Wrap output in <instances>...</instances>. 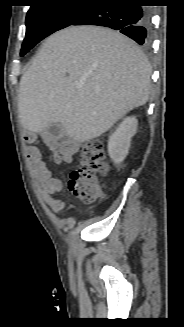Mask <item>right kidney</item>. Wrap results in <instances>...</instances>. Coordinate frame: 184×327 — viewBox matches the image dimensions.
Segmentation results:
<instances>
[{
    "label": "right kidney",
    "instance_id": "1",
    "mask_svg": "<svg viewBox=\"0 0 184 327\" xmlns=\"http://www.w3.org/2000/svg\"><path fill=\"white\" fill-rule=\"evenodd\" d=\"M138 120L133 117H126L110 136L108 141V153L114 163L122 162L131 145V138L136 134Z\"/></svg>",
    "mask_w": 184,
    "mask_h": 327
}]
</instances>
